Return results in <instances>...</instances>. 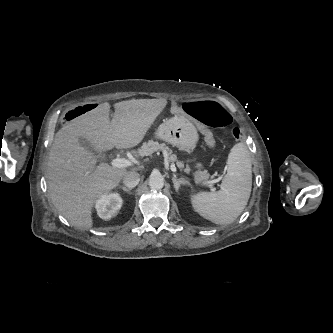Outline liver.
I'll return each mask as SVG.
<instances>
[{"mask_svg": "<svg viewBox=\"0 0 333 333\" xmlns=\"http://www.w3.org/2000/svg\"><path fill=\"white\" fill-rule=\"evenodd\" d=\"M166 105L165 99L121 101L114 104L110 121V104L105 102L66 122L55 134L47 162L48 193L71 225L91 228L96 200L118 186L127 173L125 168L106 163L96 167L95 155L79 143V138H86L100 152L133 148Z\"/></svg>", "mask_w": 333, "mask_h": 333, "instance_id": "6515ba94", "label": "liver"}]
</instances>
